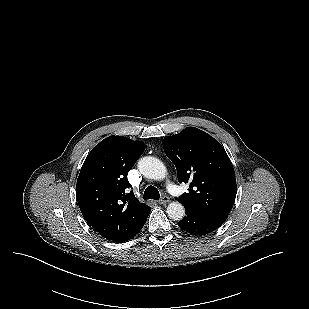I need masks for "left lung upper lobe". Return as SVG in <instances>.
Instances as JSON below:
<instances>
[{
	"instance_id": "obj_1",
	"label": "left lung upper lobe",
	"mask_w": 309,
	"mask_h": 309,
	"mask_svg": "<svg viewBox=\"0 0 309 309\" xmlns=\"http://www.w3.org/2000/svg\"><path fill=\"white\" fill-rule=\"evenodd\" d=\"M163 148L174 163L180 183L190 191L177 200L185 209L195 210L224 222L236 197L233 165L221 144L206 132L188 127L165 137Z\"/></svg>"
}]
</instances>
